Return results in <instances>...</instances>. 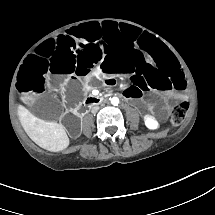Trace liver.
<instances>
[{
    "label": "liver",
    "mask_w": 215,
    "mask_h": 215,
    "mask_svg": "<svg viewBox=\"0 0 215 215\" xmlns=\"http://www.w3.org/2000/svg\"><path fill=\"white\" fill-rule=\"evenodd\" d=\"M18 116L23 129L38 146L53 152L68 147L69 138L62 124L39 119L23 106L18 107Z\"/></svg>",
    "instance_id": "1"
}]
</instances>
